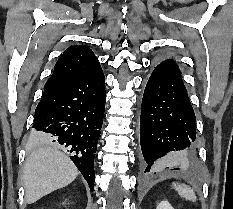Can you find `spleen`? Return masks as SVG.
<instances>
[{
    "label": "spleen",
    "mask_w": 233,
    "mask_h": 209,
    "mask_svg": "<svg viewBox=\"0 0 233 209\" xmlns=\"http://www.w3.org/2000/svg\"><path fill=\"white\" fill-rule=\"evenodd\" d=\"M173 186L178 191L179 195L185 198L186 200H189L192 202L196 201L197 197L195 195V192L189 186L185 184H178V183L177 184L174 183Z\"/></svg>",
    "instance_id": "3e777b00"
}]
</instances>
